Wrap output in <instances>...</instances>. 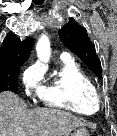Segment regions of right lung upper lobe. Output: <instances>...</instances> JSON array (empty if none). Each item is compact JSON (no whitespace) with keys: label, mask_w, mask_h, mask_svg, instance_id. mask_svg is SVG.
Returning <instances> with one entry per match:
<instances>
[{"label":"right lung upper lobe","mask_w":117,"mask_h":136,"mask_svg":"<svg viewBox=\"0 0 117 136\" xmlns=\"http://www.w3.org/2000/svg\"><path fill=\"white\" fill-rule=\"evenodd\" d=\"M32 45V38L20 41L16 35L9 33L0 47V67L23 64L29 58Z\"/></svg>","instance_id":"right-lung-upper-lobe-1"}]
</instances>
